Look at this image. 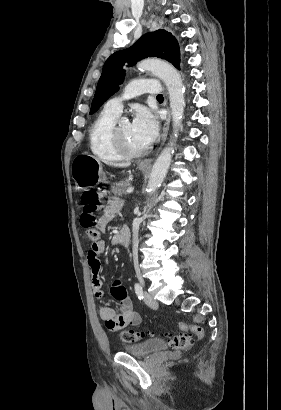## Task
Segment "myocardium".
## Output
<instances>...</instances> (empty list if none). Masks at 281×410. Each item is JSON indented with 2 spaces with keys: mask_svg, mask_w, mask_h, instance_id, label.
Returning <instances> with one entry per match:
<instances>
[{
  "mask_svg": "<svg viewBox=\"0 0 281 410\" xmlns=\"http://www.w3.org/2000/svg\"><path fill=\"white\" fill-rule=\"evenodd\" d=\"M125 120L124 118L118 117L116 121L113 124V127L111 129V139L116 147V149L124 156L128 158H134V157H139L145 154L148 151V148H143V149H132L127 145L123 137L121 136L119 126L120 123Z\"/></svg>",
  "mask_w": 281,
  "mask_h": 410,
  "instance_id": "obj_1",
  "label": "myocardium"
}]
</instances>
